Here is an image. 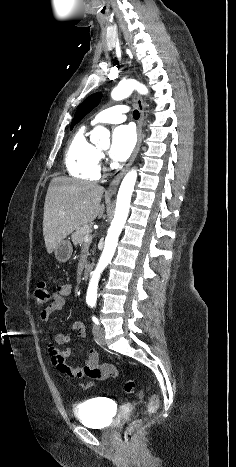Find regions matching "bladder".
Masks as SVG:
<instances>
[{"label": "bladder", "instance_id": "bladder-1", "mask_svg": "<svg viewBox=\"0 0 236 467\" xmlns=\"http://www.w3.org/2000/svg\"><path fill=\"white\" fill-rule=\"evenodd\" d=\"M113 408L114 406L105 398H92L76 406L74 415L85 425L105 428L111 424Z\"/></svg>", "mask_w": 236, "mask_h": 467}]
</instances>
